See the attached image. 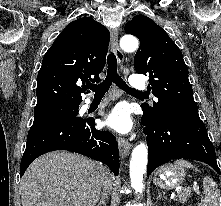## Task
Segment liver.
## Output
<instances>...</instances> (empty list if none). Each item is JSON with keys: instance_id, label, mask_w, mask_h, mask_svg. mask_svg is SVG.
I'll use <instances>...</instances> for the list:
<instances>
[{"instance_id": "1", "label": "liver", "mask_w": 221, "mask_h": 206, "mask_svg": "<svg viewBox=\"0 0 221 206\" xmlns=\"http://www.w3.org/2000/svg\"><path fill=\"white\" fill-rule=\"evenodd\" d=\"M107 168L76 153L37 158L20 182L22 206H95Z\"/></svg>"}]
</instances>
